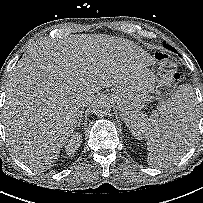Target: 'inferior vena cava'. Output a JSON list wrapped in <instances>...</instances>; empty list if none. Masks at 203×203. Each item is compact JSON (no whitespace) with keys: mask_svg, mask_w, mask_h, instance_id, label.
<instances>
[{"mask_svg":"<svg viewBox=\"0 0 203 203\" xmlns=\"http://www.w3.org/2000/svg\"><path fill=\"white\" fill-rule=\"evenodd\" d=\"M81 103H82V106L85 107V103L84 102H81Z\"/></svg>","mask_w":203,"mask_h":203,"instance_id":"602c4592","label":"inferior vena cava"}]
</instances>
